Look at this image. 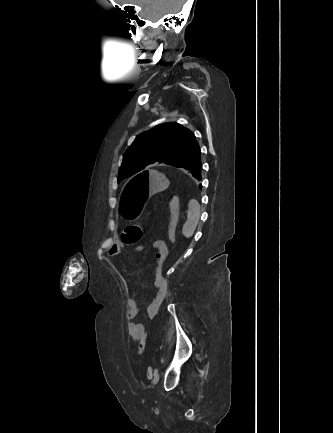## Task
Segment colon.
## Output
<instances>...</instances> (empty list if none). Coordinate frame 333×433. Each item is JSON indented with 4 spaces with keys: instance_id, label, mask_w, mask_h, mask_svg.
<instances>
[{
    "instance_id": "1",
    "label": "colon",
    "mask_w": 333,
    "mask_h": 433,
    "mask_svg": "<svg viewBox=\"0 0 333 433\" xmlns=\"http://www.w3.org/2000/svg\"><path fill=\"white\" fill-rule=\"evenodd\" d=\"M170 206H171V217H170V223H169V238L173 242L175 239V228L178 223V200L177 198H171L170 199ZM142 237V230L138 225L130 224L125 226L121 231V240L122 243L125 245H135L137 244ZM147 334L144 333L143 336L140 338V343L137 349V353L141 354L144 350L145 344H146Z\"/></svg>"
}]
</instances>
